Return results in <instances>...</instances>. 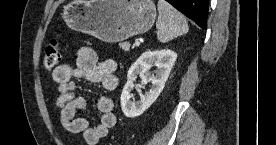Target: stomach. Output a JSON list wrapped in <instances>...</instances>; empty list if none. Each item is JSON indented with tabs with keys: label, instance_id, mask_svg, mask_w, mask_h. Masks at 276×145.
<instances>
[{
	"label": "stomach",
	"instance_id": "0dacf381",
	"mask_svg": "<svg viewBox=\"0 0 276 145\" xmlns=\"http://www.w3.org/2000/svg\"><path fill=\"white\" fill-rule=\"evenodd\" d=\"M62 17L71 29L114 43L147 32L156 6L152 0H73Z\"/></svg>",
	"mask_w": 276,
	"mask_h": 145
}]
</instances>
